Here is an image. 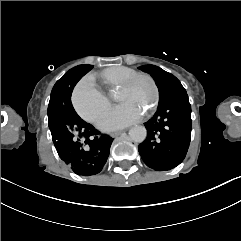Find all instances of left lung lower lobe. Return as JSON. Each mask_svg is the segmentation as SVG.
Returning <instances> with one entry per match:
<instances>
[{"label":"left lung lower lobe","mask_w":241,"mask_h":241,"mask_svg":"<svg viewBox=\"0 0 241 241\" xmlns=\"http://www.w3.org/2000/svg\"><path fill=\"white\" fill-rule=\"evenodd\" d=\"M148 135L139 145L144 163L157 171L170 170L186 156L191 134V106L186 91L159 102L155 115L145 123Z\"/></svg>","instance_id":"1"}]
</instances>
